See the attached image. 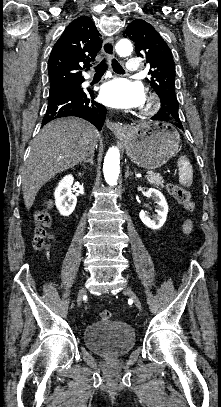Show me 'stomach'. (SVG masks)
<instances>
[{
  "label": "stomach",
  "mask_w": 221,
  "mask_h": 407,
  "mask_svg": "<svg viewBox=\"0 0 221 407\" xmlns=\"http://www.w3.org/2000/svg\"><path fill=\"white\" fill-rule=\"evenodd\" d=\"M123 140L133 163L142 168L156 169L178 151L180 135L169 123L145 121L129 127Z\"/></svg>",
  "instance_id": "stomach-1"
}]
</instances>
